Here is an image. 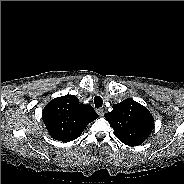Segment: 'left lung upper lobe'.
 Returning a JSON list of instances; mask_svg holds the SVG:
<instances>
[{"mask_svg": "<svg viewBox=\"0 0 184 184\" xmlns=\"http://www.w3.org/2000/svg\"><path fill=\"white\" fill-rule=\"evenodd\" d=\"M104 116L116 137L128 146L140 145L154 128V118L149 110L132 99L114 104L113 110Z\"/></svg>", "mask_w": 184, "mask_h": 184, "instance_id": "obj_1", "label": "left lung upper lobe"}]
</instances>
